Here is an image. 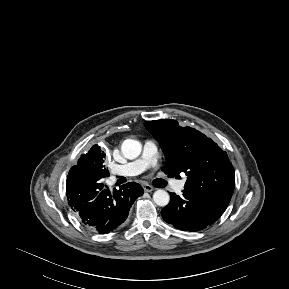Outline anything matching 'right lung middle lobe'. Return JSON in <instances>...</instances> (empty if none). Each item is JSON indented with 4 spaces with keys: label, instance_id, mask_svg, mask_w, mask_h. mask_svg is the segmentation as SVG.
<instances>
[{
    "label": "right lung middle lobe",
    "instance_id": "1",
    "mask_svg": "<svg viewBox=\"0 0 289 289\" xmlns=\"http://www.w3.org/2000/svg\"><path fill=\"white\" fill-rule=\"evenodd\" d=\"M105 156L106 155L104 154V152L101 151L98 154H96L95 159L83 162H80L78 160L77 166L73 167H80L82 169L89 171L91 174L99 177L100 179H103L109 176V171L105 167V159H106Z\"/></svg>",
    "mask_w": 289,
    "mask_h": 289
}]
</instances>
